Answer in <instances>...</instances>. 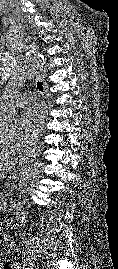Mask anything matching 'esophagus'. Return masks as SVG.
Wrapping results in <instances>:
<instances>
[{
	"label": "esophagus",
	"mask_w": 118,
	"mask_h": 269,
	"mask_svg": "<svg viewBox=\"0 0 118 269\" xmlns=\"http://www.w3.org/2000/svg\"><path fill=\"white\" fill-rule=\"evenodd\" d=\"M39 77L43 81L45 80V77H46V71H45V69L42 68L40 70ZM46 87L47 86H46V82H45L44 83L45 93H47ZM42 149H43V143L39 144L37 147H35L32 150H30V151L26 152L25 154H23L20 157V161L23 162V163H27L29 161L35 160L41 154Z\"/></svg>",
	"instance_id": "1"
}]
</instances>
